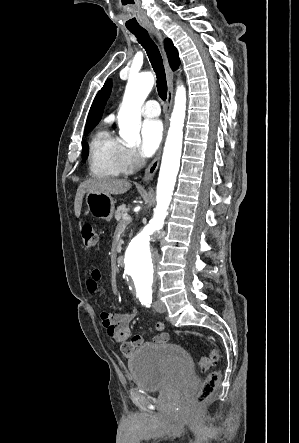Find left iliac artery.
<instances>
[{
  "label": "left iliac artery",
  "mask_w": 299,
  "mask_h": 443,
  "mask_svg": "<svg viewBox=\"0 0 299 443\" xmlns=\"http://www.w3.org/2000/svg\"><path fill=\"white\" fill-rule=\"evenodd\" d=\"M142 304H144L146 307H150L151 300H144L142 301Z\"/></svg>",
  "instance_id": "44dca946"
}]
</instances>
